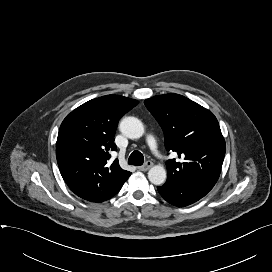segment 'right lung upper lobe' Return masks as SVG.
<instances>
[{
    "label": "right lung upper lobe",
    "instance_id": "right-lung-upper-lobe-1",
    "mask_svg": "<svg viewBox=\"0 0 272 272\" xmlns=\"http://www.w3.org/2000/svg\"><path fill=\"white\" fill-rule=\"evenodd\" d=\"M139 102L120 95L90 100L73 110L62 122L56 158L68 187L79 197L103 202L119 192L131 172L110 164L116 150L114 135L120 118Z\"/></svg>",
    "mask_w": 272,
    "mask_h": 272
}]
</instances>
